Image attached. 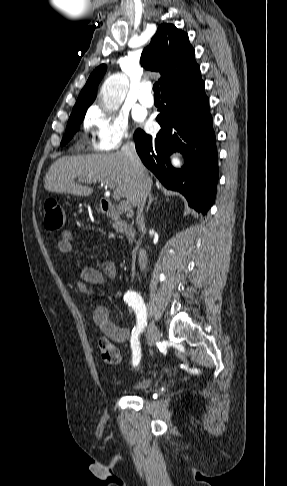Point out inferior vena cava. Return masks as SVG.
<instances>
[{"label":"inferior vena cava","mask_w":287,"mask_h":486,"mask_svg":"<svg viewBox=\"0 0 287 486\" xmlns=\"http://www.w3.org/2000/svg\"><path fill=\"white\" fill-rule=\"evenodd\" d=\"M121 153H123L126 157L129 158L137 174L138 184H137L136 201H137L138 209H137L136 223L139 229H143L145 226L143 208L147 196L151 190L152 181L136 152L134 142L128 141L125 145H123L121 148ZM138 261H139V266L141 271H145L148 264V259H147V253L144 249L140 248Z\"/></svg>","instance_id":"obj_1"}]
</instances>
